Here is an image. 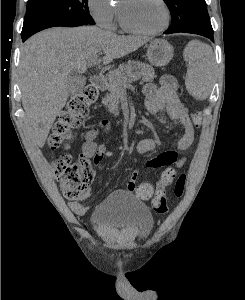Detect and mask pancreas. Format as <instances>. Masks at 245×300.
I'll list each match as a JSON object with an SVG mask.
<instances>
[{"label": "pancreas", "mask_w": 245, "mask_h": 300, "mask_svg": "<svg viewBox=\"0 0 245 300\" xmlns=\"http://www.w3.org/2000/svg\"><path fill=\"white\" fill-rule=\"evenodd\" d=\"M131 75H134L135 78H132ZM155 77L154 69L150 65L134 61L120 65L117 70L111 71L106 75L110 93L103 98V103L107 105L110 113L118 115L119 95L124 85L136 79L151 82Z\"/></svg>", "instance_id": "cf45deb5"}]
</instances>
